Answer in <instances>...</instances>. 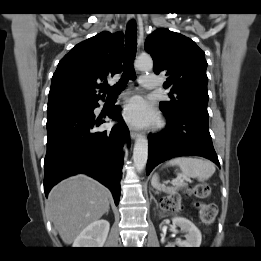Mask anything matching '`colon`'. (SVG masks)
Segmentation results:
<instances>
[{
  "label": "colon",
  "mask_w": 261,
  "mask_h": 261,
  "mask_svg": "<svg viewBox=\"0 0 261 261\" xmlns=\"http://www.w3.org/2000/svg\"><path fill=\"white\" fill-rule=\"evenodd\" d=\"M211 188L208 184L198 183L184 190L185 196H195L197 198H206L210 195ZM163 209L177 213L182 210V197L180 195H170L162 199ZM199 218L205 225H210L216 215V206L214 204H197Z\"/></svg>",
  "instance_id": "1"
}]
</instances>
